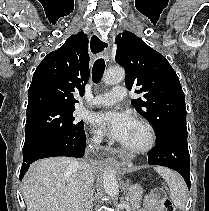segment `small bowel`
I'll return each mask as SVG.
<instances>
[{"label": "small bowel", "mask_w": 209, "mask_h": 211, "mask_svg": "<svg viewBox=\"0 0 209 211\" xmlns=\"http://www.w3.org/2000/svg\"><path fill=\"white\" fill-rule=\"evenodd\" d=\"M164 200V191L162 189H156L145 197L143 208L140 211H164Z\"/></svg>", "instance_id": "c3829d8e"}]
</instances>
